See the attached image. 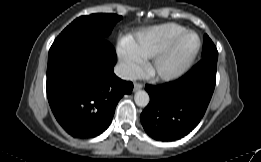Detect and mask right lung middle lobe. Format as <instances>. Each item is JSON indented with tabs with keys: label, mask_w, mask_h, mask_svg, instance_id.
<instances>
[{
	"label": "right lung middle lobe",
	"mask_w": 261,
	"mask_h": 162,
	"mask_svg": "<svg viewBox=\"0 0 261 162\" xmlns=\"http://www.w3.org/2000/svg\"><path fill=\"white\" fill-rule=\"evenodd\" d=\"M121 18L119 15L108 13L81 16L68 25L54 42L81 37L105 38Z\"/></svg>",
	"instance_id": "1"
}]
</instances>
